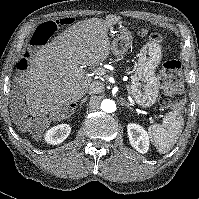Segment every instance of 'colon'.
I'll return each mask as SVG.
<instances>
[{
    "label": "colon",
    "instance_id": "colon-1",
    "mask_svg": "<svg viewBox=\"0 0 199 199\" xmlns=\"http://www.w3.org/2000/svg\"><path fill=\"white\" fill-rule=\"evenodd\" d=\"M58 21H47L41 24L34 33L31 44L33 46L45 45L51 35L56 31ZM31 56L30 52L25 54V61ZM182 64L179 59L171 58L166 61L161 70V81L164 86V92L160 96L159 103L164 108H170L180 105L183 99L180 97L182 84L178 78Z\"/></svg>",
    "mask_w": 199,
    "mask_h": 199
}]
</instances>
